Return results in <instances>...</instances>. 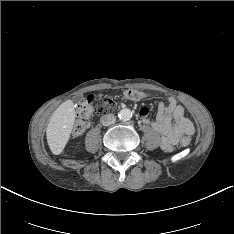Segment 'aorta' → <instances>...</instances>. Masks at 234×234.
<instances>
[{
    "instance_id": "obj_1",
    "label": "aorta",
    "mask_w": 234,
    "mask_h": 234,
    "mask_svg": "<svg viewBox=\"0 0 234 234\" xmlns=\"http://www.w3.org/2000/svg\"><path fill=\"white\" fill-rule=\"evenodd\" d=\"M131 117H132V112L130 109H127V108L122 109L119 113V118L121 120H129L131 119Z\"/></svg>"
}]
</instances>
